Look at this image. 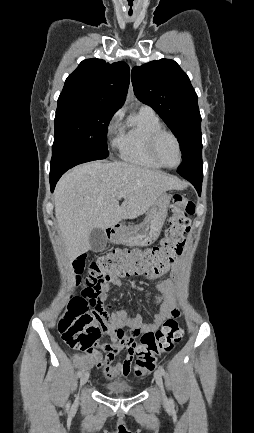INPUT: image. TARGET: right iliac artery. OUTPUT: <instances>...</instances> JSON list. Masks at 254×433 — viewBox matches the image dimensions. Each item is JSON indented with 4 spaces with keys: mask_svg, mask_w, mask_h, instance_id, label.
Here are the masks:
<instances>
[{
    "mask_svg": "<svg viewBox=\"0 0 254 433\" xmlns=\"http://www.w3.org/2000/svg\"><path fill=\"white\" fill-rule=\"evenodd\" d=\"M82 375V370H79L78 372H77V377H80Z\"/></svg>",
    "mask_w": 254,
    "mask_h": 433,
    "instance_id": "1",
    "label": "right iliac artery"
}]
</instances>
